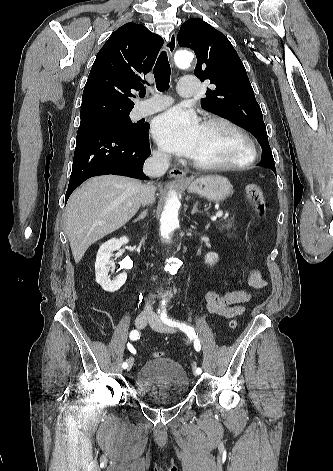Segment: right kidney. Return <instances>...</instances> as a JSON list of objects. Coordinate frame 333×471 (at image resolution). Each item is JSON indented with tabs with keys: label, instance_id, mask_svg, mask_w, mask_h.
Listing matches in <instances>:
<instances>
[{
	"label": "right kidney",
	"instance_id": "obj_1",
	"mask_svg": "<svg viewBox=\"0 0 333 471\" xmlns=\"http://www.w3.org/2000/svg\"><path fill=\"white\" fill-rule=\"evenodd\" d=\"M129 239L121 237L120 239L112 238L102 244L98 250L95 262V275L96 282L108 292H115L126 282L127 274L125 272L118 275L116 280H111L109 276L110 258L112 252L120 249L124 244H127Z\"/></svg>",
	"mask_w": 333,
	"mask_h": 471
}]
</instances>
